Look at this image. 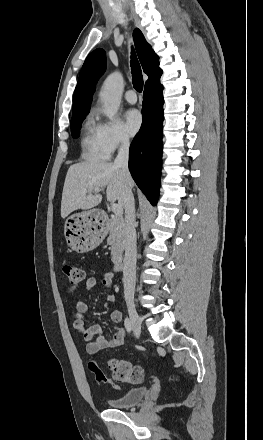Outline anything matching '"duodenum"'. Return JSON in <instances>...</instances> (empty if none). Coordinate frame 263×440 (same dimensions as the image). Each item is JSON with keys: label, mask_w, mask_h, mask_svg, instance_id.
I'll list each match as a JSON object with an SVG mask.
<instances>
[{"label": "duodenum", "mask_w": 263, "mask_h": 440, "mask_svg": "<svg viewBox=\"0 0 263 440\" xmlns=\"http://www.w3.org/2000/svg\"><path fill=\"white\" fill-rule=\"evenodd\" d=\"M98 220L101 221L99 218H98ZM124 265H125L124 257H119L117 259V261L115 262V270L122 271L124 268Z\"/></svg>", "instance_id": "obj_1"}]
</instances>
